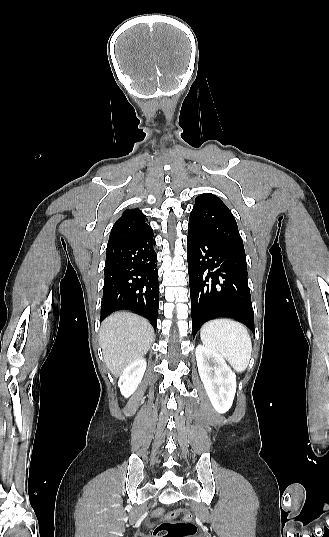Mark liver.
Returning <instances> with one entry per match:
<instances>
[{
	"label": "liver",
	"mask_w": 329,
	"mask_h": 537,
	"mask_svg": "<svg viewBox=\"0 0 329 537\" xmlns=\"http://www.w3.org/2000/svg\"><path fill=\"white\" fill-rule=\"evenodd\" d=\"M153 339V327L138 315L121 311L107 317L101 324L100 345L110 372L121 375L149 351Z\"/></svg>",
	"instance_id": "obj_1"
}]
</instances>
